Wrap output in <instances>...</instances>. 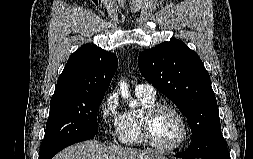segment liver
I'll use <instances>...</instances> for the list:
<instances>
[{
  "label": "liver",
  "instance_id": "6515ba94",
  "mask_svg": "<svg viewBox=\"0 0 253 159\" xmlns=\"http://www.w3.org/2000/svg\"><path fill=\"white\" fill-rule=\"evenodd\" d=\"M52 159H168L150 150L108 146L96 140L74 144Z\"/></svg>",
  "mask_w": 253,
  "mask_h": 159
}]
</instances>
